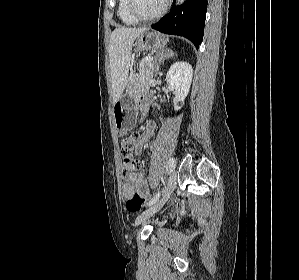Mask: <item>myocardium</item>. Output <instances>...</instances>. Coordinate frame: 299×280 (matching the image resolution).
Segmentation results:
<instances>
[{
	"instance_id": "1",
	"label": "myocardium",
	"mask_w": 299,
	"mask_h": 280,
	"mask_svg": "<svg viewBox=\"0 0 299 280\" xmlns=\"http://www.w3.org/2000/svg\"><path fill=\"white\" fill-rule=\"evenodd\" d=\"M171 0H165L162 8L151 16H143L136 9L135 0H127V9L130 15L137 20L138 22H150L159 19L162 17L168 9Z\"/></svg>"
}]
</instances>
